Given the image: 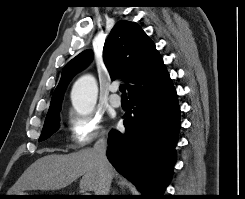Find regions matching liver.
<instances>
[{
    "label": "liver",
    "mask_w": 245,
    "mask_h": 199,
    "mask_svg": "<svg viewBox=\"0 0 245 199\" xmlns=\"http://www.w3.org/2000/svg\"><path fill=\"white\" fill-rule=\"evenodd\" d=\"M112 176L115 170L111 166ZM80 189L93 191L101 187V173L96 154L92 148H84L66 155L50 154L36 160L23 173L11 193L26 190H59L80 178Z\"/></svg>",
    "instance_id": "obj_1"
}]
</instances>
